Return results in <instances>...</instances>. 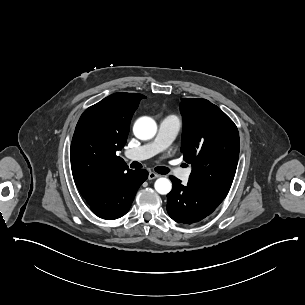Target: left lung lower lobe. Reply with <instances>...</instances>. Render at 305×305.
<instances>
[{
	"instance_id": "1",
	"label": "left lung lower lobe",
	"mask_w": 305,
	"mask_h": 305,
	"mask_svg": "<svg viewBox=\"0 0 305 305\" xmlns=\"http://www.w3.org/2000/svg\"><path fill=\"white\" fill-rule=\"evenodd\" d=\"M173 183L172 191L167 194V212L178 223L192 224L211 214L224 200L226 193L187 185L174 176L169 177Z\"/></svg>"
}]
</instances>
